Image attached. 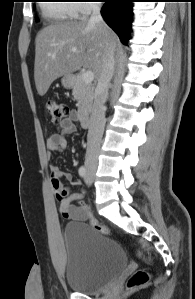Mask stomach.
I'll return each instance as SVG.
<instances>
[{
	"instance_id": "0dacf381",
	"label": "stomach",
	"mask_w": 195,
	"mask_h": 299,
	"mask_svg": "<svg viewBox=\"0 0 195 299\" xmlns=\"http://www.w3.org/2000/svg\"><path fill=\"white\" fill-rule=\"evenodd\" d=\"M61 82L65 88H71L74 86V77L72 75H66L61 79Z\"/></svg>"
}]
</instances>
